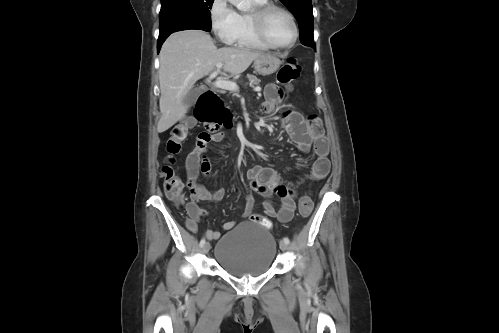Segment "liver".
I'll list each match as a JSON object with an SVG mask.
<instances>
[{
    "label": "liver",
    "mask_w": 499,
    "mask_h": 333,
    "mask_svg": "<svg viewBox=\"0 0 499 333\" xmlns=\"http://www.w3.org/2000/svg\"><path fill=\"white\" fill-rule=\"evenodd\" d=\"M266 54L245 48H217L211 36L202 30H184L171 34L160 51L159 106L161 117L157 131L162 133L185 117L184 98L196 81L211 73L217 63L231 75L244 72L253 61Z\"/></svg>",
    "instance_id": "obj_1"
}]
</instances>
